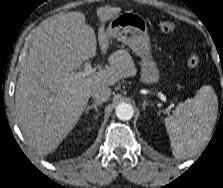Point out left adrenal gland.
Instances as JSON below:
<instances>
[{
	"mask_svg": "<svg viewBox=\"0 0 223 188\" xmlns=\"http://www.w3.org/2000/svg\"><path fill=\"white\" fill-rule=\"evenodd\" d=\"M148 105V103L146 102V100H144V102H143V108H145L146 106Z\"/></svg>",
	"mask_w": 223,
	"mask_h": 188,
	"instance_id": "1",
	"label": "left adrenal gland"
}]
</instances>
